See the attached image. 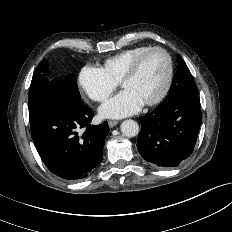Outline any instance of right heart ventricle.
Wrapping results in <instances>:
<instances>
[{
  "mask_svg": "<svg viewBox=\"0 0 232 232\" xmlns=\"http://www.w3.org/2000/svg\"><path fill=\"white\" fill-rule=\"evenodd\" d=\"M149 48L150 46H136L117 53L103 62L102 69L114 82L118 83L134 58Z\"/></svg>",
  "mask_w": 232,
  "mask_h": 232,
  "instance_id": "e07e8e85",
  "label": "right heart ventricle"
}]
</instances>
